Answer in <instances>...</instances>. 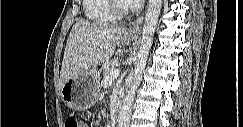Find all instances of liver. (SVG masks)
<instances>
[{
	"mask_svg": "<svg viewBox=\"0 0 243 127\" xmlns=\"http://www.w3.org/2000/svg\"><path fill=\"white\" fill-rule=\"evenodd\" d=\"M124 33V28L96 22H77L70 31L65 47L60 86L84 71L108 61Z\"/></svg>",
	"mask_w": 243,
	"mask_h": 127,
	"instance_id": "1",
	"label": "liver"
}]
</instances>
